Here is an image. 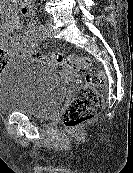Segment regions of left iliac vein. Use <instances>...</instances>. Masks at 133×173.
<instances>
[{
  "mask_svg": "<svg viewBox=\"0 0 133 173\" xmlns=\"http://www.w3.org/2000/svg\"><path fill=\"white\" fill-rule=\"evenodd\" d=\"M53 37L52 32L50 30V24L47 22L43 28L42 38L51 39Z\"/></svg>",
  "mask_w": 133,
  "mask_h": 173,
  "instance_id": "left-iliac-vein-1",
  "label": "left iliac vein"
}]
</instances>
